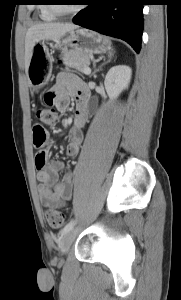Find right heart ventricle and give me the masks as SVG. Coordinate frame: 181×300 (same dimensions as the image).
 Instances as JSON below:
<instances>
[{
    "mask_svg": "<svg viewBox=\"0 0 181 300\" xmlns=\"http://www.w3.org/2000/svg\"><path fill=\"white\" fill-rule=\"evenodd\" d=\"M38 14L41 20L46 21V22H51L56 20V15H54L48 7V4L43 3L40 5L38 8Z\"/></svg>",
    "mask_w": 181,
    "mask_h": 300,
    "instance_id": "obj_1",
    "label": "right heart ventricle"
}]
</instances>
